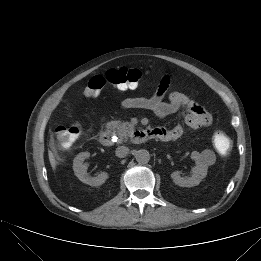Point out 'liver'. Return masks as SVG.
Instances as JSON below:
<instances>
[{"instance_id": "6515ba94", "label": "liver", "mask_w": 261, "mask_h": 261, "mask_svg": "<svg viewBox=\"0 0 261 261\" xmlns=\"http://www.w3.org/2000/svg\"><path fill=\"white\" fill-rule=\"evenodd\" d=\"M48 156H49V161H50L51 167H52L53 170H55L56 165H57V161L55 160L53 153L51 151H49Z\"/></svg>"}]
</instances>
